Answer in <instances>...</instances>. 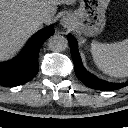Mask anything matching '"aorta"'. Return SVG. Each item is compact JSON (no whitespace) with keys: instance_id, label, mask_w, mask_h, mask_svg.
Instances as JSON below:
<instances>
[{"instance_id":"1","label":"aorta","mask_w":128,"mask_h":128,"mask_svg":"<svg viewBox=\"0 0 128 128\" xmlns=\"http://www.w3.org/2000/svg\"><path fill=\"white\" fill-rule=\"evenodd\" d=\"M68 46V40L61 35H52L48 40V47L53 52H62Z\"/></svg>"}]
</instances>
